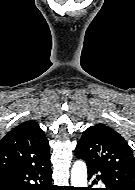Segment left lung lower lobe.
Segmentation results:
<instances>
[{
  "mask_svg": "<svg viewBox=\"0 0 135 190\" xmlns=\"http://www.w3.org/2000/svg\"><path fill=\"white\" fill-rule=\"evenodd\" d=\"M88 168V178L90 179L93 175L99 172V175H97V179L101 180L105 184V188H102V190H123L119 185L113 183L111 179L105 175L104 173L100 172L95 167L87 165ZM96 182V180L93 181V183ZM90 189V188H88Z\"/></svg>",
  "mask_w": 135,
  "mask_h": 190,
  "instance_id": "left-lung-lower-lobe-1",
  "label": "left lung lower lobe"
}]
</instances>
